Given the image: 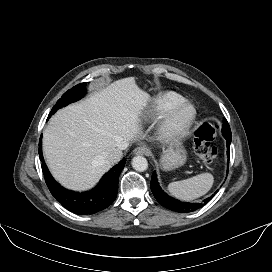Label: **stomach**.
Returning <instances> with one entry per match:
<instances>
[{"mask_svg":"<svg viewBox=\"0 0 272 272\" xmlns=\"http://www.w3.org/2000/svg\"><path fill=\"white\" fill-rule=\"evenodd\" d=\"M187 159L186 150L180 142H175L163 149L160 157V166L165 171L181 167Z\"/></svg>","mask_w":272,"mask_h":272,"instance_id":"obj_1","label":"stomach"}]
</instances>
